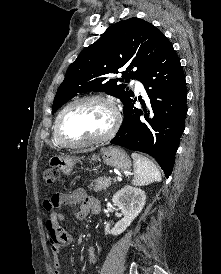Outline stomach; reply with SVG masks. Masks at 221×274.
I'll return each instance as SVG.
<instances>
[{
    "label": "stomach",
    "mask_w": 221,
    "mask_h": 274,
    "mask_svg": "<svg viewBox=\"0 0 221 274\" xmlns=\"http://www.w3.org/2000/svg\"><path fill=\"white\" fill-rule=\"evenodd\" d=\"M100 155L103 162L120 171H128L131 168V161L127 153L117 147L103 148L99 155H93V161H100ZM77 158L72 156H52L49 159V165L52 168H57L65 175H70L73 171Z\"/></svg>",
    "instance_id": "stomach-1"
}]
</instances>
